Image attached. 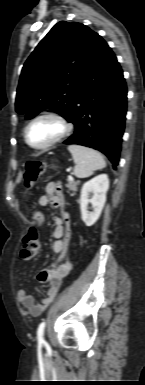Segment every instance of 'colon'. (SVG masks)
Masks as SVG:
<instances>
[{"instance_id":"obj_1","label":"colon","mask_w":145,"mask_h":385,"mask_svg":"<svg viewBox=\"0 0 145 385\" xmlns=\"http://www.w3.org/2000/svg\"><path fill=\"white\" fill-rule=\"evenodd\" d=\"M42 170L43 165L39 161H31L27 163L23 174L25 186L29 187L32 183H34L40 176ZM33 219L35 221V226L31 227L23 238V246L20 253V256L23 260L32 259L39 248L38 227L43 222V214L37 211L34 213ZM64 258L65 255L62 256L63 260Z\"/></svg>"}]
</instances>
